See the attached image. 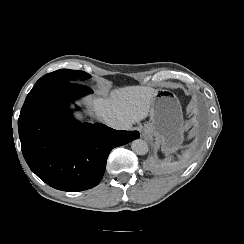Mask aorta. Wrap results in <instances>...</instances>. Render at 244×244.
I'll use <instances>...</instances> for the list:
<instances>
[{"label": "aorta", "instance_id": "762f6f07", "mask_svg": "<svg viewBox=\"0 0 244 244\" xmlns=\"http://www.w3.org/2000/svg\"><path fill=\"white\" fill-rule=\"evenodd\" d=\"M131 148L137 155H145L148 152V144L142 139L132 141Z\"/></svg>", "mask_w": 244, "mask_h": 244}]
</instances>
